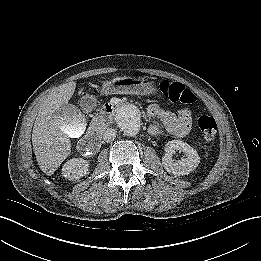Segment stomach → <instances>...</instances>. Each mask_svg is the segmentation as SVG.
<instances>
[{
  "label": "stomach",
  "mask_w": 261,
  "mask_h": 261,
  "mask_svg": "<svg viewBox=\"0 0 261 261\" xmlns=\"http://www.w3.org/2000/svg\"><path fill=\"white\" fill-rule=\"evenodd\" d=\"M101 94H152L154 85L145 78L118 77L104 82L99 88Z\"/></svg>",
  "instance_id": "1"
}]
</instances>
